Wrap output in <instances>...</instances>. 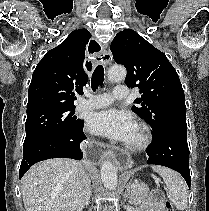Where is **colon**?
<instances>
[{
    "mask_svg": "<svg viewBox=\"0 0 209 211\" xmlns=\"http://www.w3.org/2000/svg\"><path fill=\"white\" fill-rule=\"evenodd\" d=\"M164 209L165 211H175L173 205L169 201L164 203Z\"/></svg>",
    "mask_w": 209,
    "mask_h": 211,
    "instance_id": "obj_1",
    "label": "colon"
}]
</instances>
